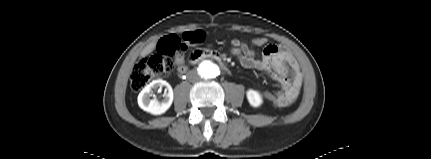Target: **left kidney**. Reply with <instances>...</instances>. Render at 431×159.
I'll list each match as a JSON object with an SVG mask.
<instances>
[{
    "label": "left kidney",
    "mask_w": 431,
    "mask_h": 159,
    "mask_svg": "<svg viewBox=\"0 0 431 159\" xmlns=\"http://www.w3.org/2000/svg\"><path fill=\"white\" fill-rule=\"evenodd\" d=\"M246 96H247L248 102L253 107H259L263 103L262 95L256 90L249 89L246 92Z\"/></svg>",
    "instance_id": "5707ae66"
}]
</instances>
